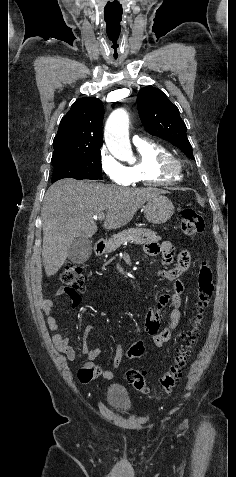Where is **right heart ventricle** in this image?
I'll return each mask as SVG.
<instances>
[{
  "label": "right heart ventricle",
  "mask_w": 236,
  "mask_h": 477,
  "mask_svg": "<svg viewBox=\"0 0 236 477\" xmlns=\"http://www.w3.org/2000/svg\"><path fill=\"white\" fill-rule=\"evenodd\" d=\"M138 160L127 167L130 182L127 186L143 185H172L181 180L180 175L165 178L156 172L157 162L162 157L172 156L162 144L152 140H141L135 144Z\"/></svg>",
  "instance_id": "obj_1"
}]
</instances>
